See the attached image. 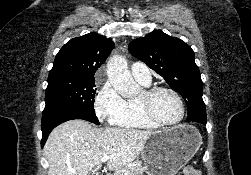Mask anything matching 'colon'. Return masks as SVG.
Listing matches in <instances>:
<instances>
[{
    "mask_svg": "<svg viewBox=\"0 0 251 175\" xmlns=\"http://www.w3.org/2000/svg\"><path fill=\"white\" fill-rule=\"evenodd\" d=\"M182 175H201L200 171L191 165H186L183 168Z\"/></svg>",
    "mask_w": 251,
    "mask_h": 175,
    "instance_id": "1",
    "label": "colon"
}]
</instances>
